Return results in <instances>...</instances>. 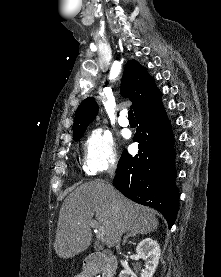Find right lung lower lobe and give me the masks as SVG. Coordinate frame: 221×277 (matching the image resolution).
Listing matches in <instances>:
<instances>
[{
    "instance_id": "obj_1",
    "label": "right lung lower lobe",
    "mask_w": 221,
    "mask_h": 277,
    "mask_svg": "<svg viewBox=\"0 0 221 277\" xmlns=\"http://www.w3.org/2000/svg\"><path fill=\"white\" fill-rule=\"evenodd\" d=\"M139 142L135 156L122 154L113 185L129 199L160 211L172 227L179 206L175 184L174 136L161 103V92L136 114Z\"/></svg>"
}]
</instances>
